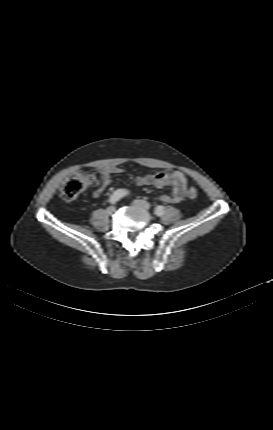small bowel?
I'll list each match as a JSON object with an SVG mask.
<instances>
[{
  "label": "small bowel",
  "mask_w": 273,
  "mask_h": 430,
  "mask_svg": "<svg viewBox=\"0 0 273 430\" xmlns=\"http://www.w3.org/2000/svg\"><path fill=\"white\" fill-rule=\"evenodd\" d=\"M120 172L121 169L115 166L99 169L100 185L94 190L93 196L96 198L101 196L105 188L111 183V175ZM135 182L139 186H154L157 188L170 186L172 188L171 194L163 195L159 198L163 203H178L182 201L187 189V179L185 175L180 171L173 170L140 175L136 177Z\"/></svg>",
  "instance_id": "c3829d8e"
}]
</instances>
